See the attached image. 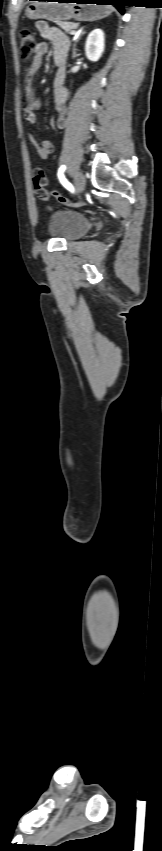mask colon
<instances>
[{
  "mask_svg": "<svg viewBox=\"0 0 162 851\" xmlns=\"http://www.w3.org/2000/svg\"><path fill=\"white\" fill-rule=\"evenodd\" d=\"M37 46L36 36L34 32L28 29H24L20 33V54L23 60H30L35 54V49ZM33 185L36 191L37 196L46 201L50 197L55 198L58 202L64 205H84L83 201H72L67 198L63 194H61L58 190H49L48 189V179L46 177L45 172L37 168L33 171L32 175Z\"/></svg>",
  "mask_w": 162,
  "mask_h": 851,
  "instance_id": "obj_1",
  "label": "colon"
}]
</instances>
